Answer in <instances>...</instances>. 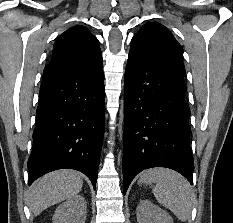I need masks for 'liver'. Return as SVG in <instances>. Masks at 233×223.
I'll return each instance as SVG.
<instances>
[{
    "label": "liver",
    "instance_id": "1",
    "mask_svg": "<svg viewBox=\"0 0 233 223\" xmlns=\"http://www.w3.org/2000/svg\"><path fill=\"white\" fill-rule=\"evenodd\" d=\"M83 179L79 171L73 169H58L40 177L30 187L28 203L34 215H39L43 209L64 201L81 191Z\"/></svg>",
    "mask_w": 233,
    "mask_h": 223
}]
</instances>
